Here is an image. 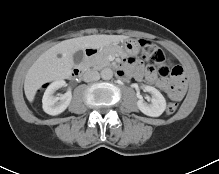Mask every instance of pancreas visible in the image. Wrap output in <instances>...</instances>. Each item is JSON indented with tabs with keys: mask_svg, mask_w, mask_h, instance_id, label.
<instances>
[{
	"mask_svg": "<svg viewBox=\"0 0 219 174\" xmlns=\"http://www.w3.org/2000/svg\"><path fill=\"white\" fill-rule=\"evenodd\" d=\"M118 51L110 50V51H101L100 53L94 55L93 57L89 58L85 62L86 67H92L96 70H100L103 67L109 66L110 62L108 60V56L110 54H116Z\"/></svg>",
	"mask_w": 219,
	"mask_h": 174,
	"instance_id": "obj_1",
	"label": "pancreas"
}]
</instances>
